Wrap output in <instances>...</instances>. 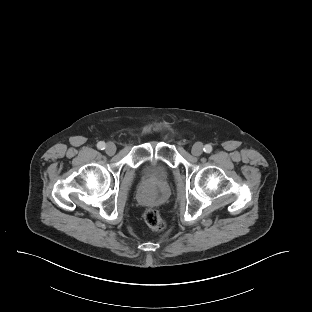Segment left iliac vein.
<instances>
[{
    "instance_id": "left-iliac-vein-1",
    "label": "left iliac vein",
    "mask_w": 312,
    "mask_h": 312,
    "mask_svg": "<svg viewBox=\"0 0 312 312\" xmlns=\"http://www.w3.org/2000/svg\"><path fill=\"white\" fill-rule=\"evenodd\" d=\"M194 156H200L203 153V145L199 142L195 143L191 149Z\"/></svg>"
}]
</instances>
